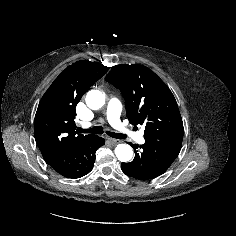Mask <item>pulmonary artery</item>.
<instances>
[{
    "mask_svg": "<svg viewBox=\"0 0 236 236\" xmlns=\"http://www.w3.org/2000/svg\"><path fill=\"white\" fill-rule=\"evenodd\" d=\"M122 110V104L120 100L116 97H112L107 106V119L109 123L115 128L119 133L125 136H132L138 143L143 144L145 142L142 133H134L128 127L124 126L120 120Z\"/></svg>",
    "mask_w": 236,
    "mask_h": 236,
    "instance_id": "1",
    "label": "pulmonary artery"
}]
</instances>
